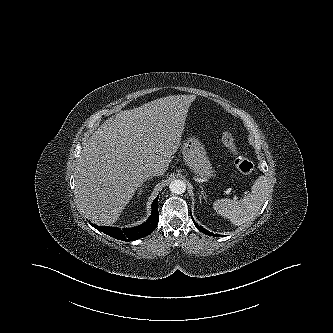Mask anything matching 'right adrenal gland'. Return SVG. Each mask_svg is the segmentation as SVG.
<instances>
[{"instance_id":"1","label":"right adrenal gland","mask_w":333,"mask_h":333,"mask_svg":"<svg viewBox=\"0 0 333 333\" xmlns=\"http://www.w3.org/2000/svg\"><path fill=\"white\" fill-rule=\"evenodd\" d=\"M150 179H152V177H149V178H148V179H146V180H150ZM144 186H145V187H147V185H143V186L141 185V188L139 189V190H140V192L138 193L139 195H141V194H142V192H143V191H142V189L144 188Z\"/></svg>"}]
</instances>
